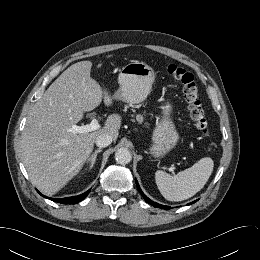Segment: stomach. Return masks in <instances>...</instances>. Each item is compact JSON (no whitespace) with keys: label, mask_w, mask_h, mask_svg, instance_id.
Here are the masks:
<instances>
[{"label":"stomach","mask_w":260,"mask_h":260,"mask_svg":"<svg viewBox=\"0 0 260 260\" xmlns=\"http://www.w3.org/2000/svg\"><path fill=\"white\" fill-rule=\"evenodd\" d=\"M155 80V71L144 62L125 65L118 76L119 89L114 98L130 104H138L149 95ZM162 117L153 131V145L150 152L154 157H163L178 143L179 134L172 121V105L167 102L162 107Z\"/></svg>","instance_id":"obj_1"}]
</instances>
